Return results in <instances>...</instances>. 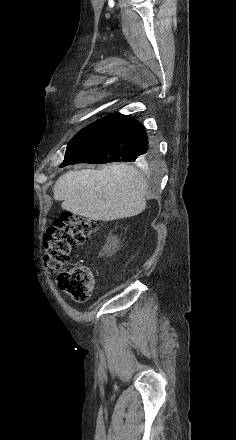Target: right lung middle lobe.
I'll list each match as a JSON object with an SVG mask.
<instances>
[{
	"label": "right lung middle lobe",
	"instance_id": "dd1d6c3e",
	"mask_svg": "<svg viewBox=\"0 0 236 440\" xmlns=\"http://www.w3.org/2000/svg\"><path fill=\"white\" fill-rule=\"evenodd\" d=\"M98 121H99V120H98ZM96 122H97V121H96ZM96 122H94V123H92V124L86 126L85 128L81 129V130H80L75 136H77V135L80 134L81 132L85 131L86 129L90 128V127H91L92 125H94ZM75 136H74V137H75ZM74 137H73V138H74ZM73 138H72V139H73ZM154 159H155V157H154L153 153H149L147 156H145V157L141 160V163H142V164L151 163V162L154 161Z\"/></svg>",
	"mask_w": 236,
	"mask_h": 440
}]
</instances>
